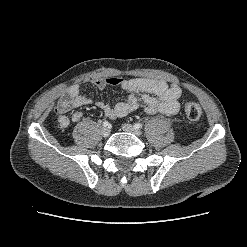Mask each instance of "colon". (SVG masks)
Wrapping results in <instances>:
<instances>
[{"label": "colon", "instance_id": "1", "mask_svg": "<svg viewBox=\"0 0 247 247\" xmlns=\"http://www.w3.org/2000/svg\"><path fill=\"white\" fill-rule=\"evenodd\" d=\"M184 112L188 119L198 120L202 115V109L199 104L195 102H186L184 104Z\"/></svg>", "mask_w": 247, "mask_h": 247}]
</instances>
